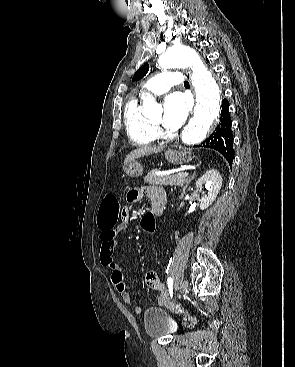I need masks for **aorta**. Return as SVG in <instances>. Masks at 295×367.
Returning <instances> with one entry per match:
<instances>
[{"mask_svg": "<svg viewBox=\"0 0 295 367\" xmlns=\"http://www.w3.org/2000/svg\"><path fill=\"white\" fill-rule=\"evenodd\" d=\"M164 69H192V84L196 92L194 115L184 128L181 140L184 144L195 145L207 137L220 112V88L212 73L207 69L199 55L186 46L172 47L158 60ZM161 108L152 97L143 98L144 116L160 113Z\"/></svg>", "mask_w": 295, "mask_h": 367, "instance_id": "aorta-1", "label": "aorta"}]
</instances>
